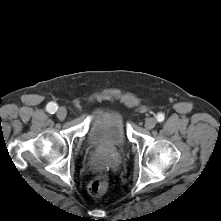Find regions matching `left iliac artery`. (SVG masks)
I'll return each instance as SVG.
<instances>
[{"label": "left iliac artery", "mask_w": 221, "mask_h": 221, "mask_svg": "<svg viewBox=\"0 0 221 221\" xmlns=\"http://www.w3.org/2000/svg\"><path fill=\"white\" fill-rule=\"evenodd\" d=\"M156 119L158 122H162V121H164L165 116L163 113H158Z\"/></svg>", "instance_id": "44dca946"}]
</instances>
